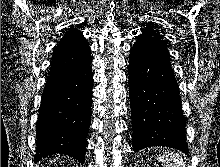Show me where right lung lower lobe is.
Returning a JSON list of instances; mask_svg holds the SVG:
<instances>
[{
    "label": "right lung lower lobe",
    "instance_id": "obj_1",
    "mask_svg": "<svg viewBox=\"0 0 220 167\" xmlns=\"http://www.w3.org/2000/svg\"><path fill=\"white\" fill-rule=\"evenodd\" d=\"M91 61L82 67L49 75L43 90L34 162L64 154L85 162L91 116Z\"/></svg>",
    "mask_w": 220,
    "mask_h": 167
}]
</instances>
